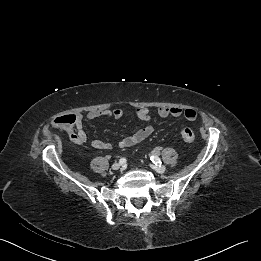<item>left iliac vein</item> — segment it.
I'll list each match as a JSON object with an SVG mask.
<instances>
[{"label": "left iliac vein", "mask_w": 261, "mask_h": 261, "mask_svg": "<svg viewBox=\"0 0 261 261\" xmlns=\"http://www.w3.org/2000/svg\"><path fill=\"white\" fill-rule=\"evenodd\" d=\"M151 167L157 171L158 173H164L166 171L165 166H157V165H151Z\"/></svg>", "instance_id": "4c4485c4"}]
</instances>
